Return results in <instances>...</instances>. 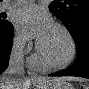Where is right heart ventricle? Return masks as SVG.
I'll return each instance as SVG.
<instances>
[{"mask_svg":"<svg viewBox=\"0 0 89 89\" xmlns=\"http://www.w3.org/2000/svg\"><path fill=\"white\" fill-rule=\"evenodd\" d=\"M30 63L35 66V67H38V68H43V65L41 64V62L39 61V59L37 57H33L31 60H30Z\"/></svg>","mask_w":89,"mask_h":89,"instance_id":"e07e8e85","label":"right heart ventricle"}]
</instances>
